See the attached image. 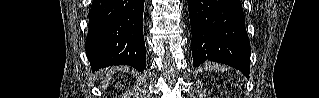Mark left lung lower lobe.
<instances>
[{
  "instance_id": "0a47b994",
  "label": "left lung lower lobe",
  "mask_w": 319,
  "mask_h": 98,
  "mask_svg": "<svg viewBox=\"0 0 319 98\" xmlns=\"http://www.w3.org/2000/svg\"><path fill=\"white\" fill-rule=\"evenodd\" d=\"M188 10L194 66L208 59L248 78L251 52L240 0H188Z\"/></svg>"
}]
</instances>
